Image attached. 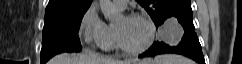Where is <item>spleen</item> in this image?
Instances as JSON below:
<instances>
[{
    "instance_id": "1",
    "label": "spleen",
    "mask_w": 242,
    "mask_h": 64,
    "mask_svg": "<svg viewBox=\"0 0 242 64\" xmlns=\"http://www.w3.org/2000/svg\"><path fill=\"white\" fill-rule=\"evenodd\" d=\"M155 64H192V62L179 55H159L154 59Z\"/></svg>"
}]
</instances>
